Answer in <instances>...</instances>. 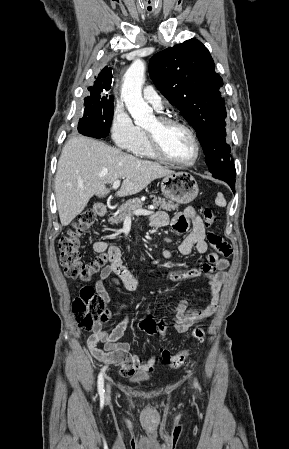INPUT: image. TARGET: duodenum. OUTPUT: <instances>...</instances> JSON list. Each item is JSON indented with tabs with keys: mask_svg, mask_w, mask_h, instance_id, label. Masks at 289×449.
<instances>
[{
	"mask_svg": "<svg viewBox=\"0 0 289 449\" xmlns=\"http://www.w3.org/2000/svg\"><path fill=\"white\" fill-rule=\"evenodd\" d=\"M98 212H99L100 215H105L107 210H106L105 207H99L98 208Z\"/></svg>",
	"mask_w": 289,
	"mask_h": 449,
	"instance_id": "duodenum-1",
	"label": "duodenum"
}]
</instances>
